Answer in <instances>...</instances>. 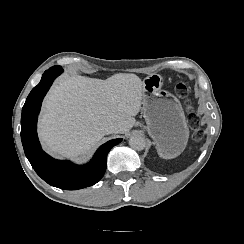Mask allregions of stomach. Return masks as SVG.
<instances>
[{"mask_svg": "<svg viewBox=\"0 0 244 244\" xmlns=\"http://www.w3.org/2000/svg\"><path fill=\"white\" fill-rule=\"evenodd\" d=\"M143 82V115L147 132L155 140L160 158H176L185 150L189 139L182 104L172 92L162 89L160 75L152 74Z\"/></svg>", "mask_w": 244, "mask_h": 244, "instance_id": "0dacf381", "label": "stomach"}]
</instances>
